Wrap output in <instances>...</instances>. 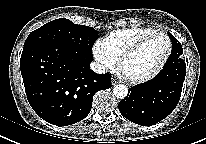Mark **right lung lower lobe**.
<instances>
[{"label":"right lung lower lobe","instance_id":"right-lung-lower-lobe-1","mask_svg":"<svg viewBox=\"0 0 206 144\" xmlns=\"http://www.w3.org/2000/svg\"><path fill=\"white\" fill-rule=\"evenodd\" d=\"M91 61L92 55L61 45L23 48L21 74L28 101L38 116L56 126L87 117L94 94L111 87V75L94 73Z\"/></svg>","mask_w":206,"mask_h":144}]
</instances>
